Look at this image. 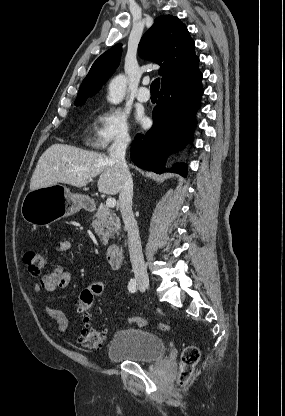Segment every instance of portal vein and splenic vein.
Here are the masks:
<instances>
[{
	"label": "portal vein and splenic vein",
	"mask_w": 285,
	"mask_h": 416,
	"mask_svg": "<svg viewBox=\"0 0 285 416\" xmlns=\"http://www.w3.org/2000/svg\"><path fill=\"white\" fill-rule=\"evenodd\" d=\"M106 206H108V208H114V206H116V200H114V198H108V200H106Z\"/></svg>",
	"instance_id": "18ae733b"
}]
</instances>
